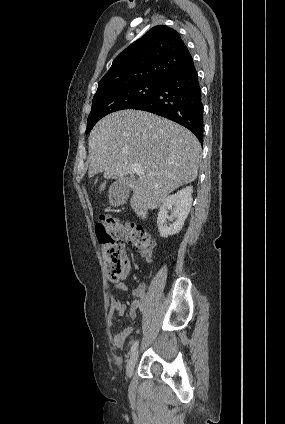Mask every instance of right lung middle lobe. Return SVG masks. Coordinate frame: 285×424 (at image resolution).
<instances>
[{
  "mask_svg": "<svg viewBox=\"0 0 285 424\" xmlns=\"http://www.w3.org/2000/svg\"><path fill=\"white\" fill-rule=\"evenodd\" d=\"M162 84V81H139L97 91L92 101L86 134L104 116L118 110L130 109L156 93Z\"/></svg>",
  "mask_w": 285,
  "mask_h": 424,
  "instance_id": "obj_1",
  "label": "right lung middle lobe"
}]
</instances>
